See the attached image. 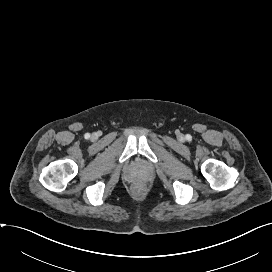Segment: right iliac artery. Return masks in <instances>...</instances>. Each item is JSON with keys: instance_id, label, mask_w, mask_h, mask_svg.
I'll return each mask as SVG.
<instances>
[{"instance_id": "obj_1", "label": "right iliac artery", "mask_w": 272, "mask_h": 272, "mask_svg": "<svg viewBox=\"0 0 272 272\" xmlns=\"http://www.w3.org/2000/svg\"><path fill=\"white\" fill-rule=\"evenodd\" d=\"M90 137V134L89 133H86L85 134V138L88 139Z\"/></svg>"}]
</instances>
